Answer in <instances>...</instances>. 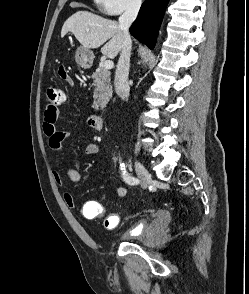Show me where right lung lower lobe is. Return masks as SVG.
<instances>
[{
  "label": "right lung lower lobe",
  "mask_w": 249,
  "mask_h": 294,
  "mask_svg": "<svg viewBox=\"0 0 249 294\" xmlns=\"http://www.w3.org/2000/svg\"><path fill=\"white\" fill-rule=\"evenodd\" d=\"M169 0H145L130 33L137 40L153 49L158 30Z\"/></svg>",
  "instance_id": "1"
}]
</instances>
